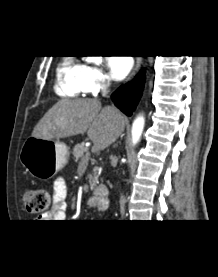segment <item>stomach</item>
Returning a JSON list of instances; mask_svg holds the SVG:
<instances>
[{"mask_svg":"<svg viewBox=\"0 0 218 277\" xmlns=\"http://www.w3.org/2000/svg\"><path fill=\"white\" fill-rule=\"evenodd\" d=\"M19 159L33 177L47 179L67 164L69 152L67 146L59 140L31 136L23 143Z\"/></svg>","mask_w":218,"mask_h":277,"instance_id":"0dacf381","label":"stomach"}]
</instances>
